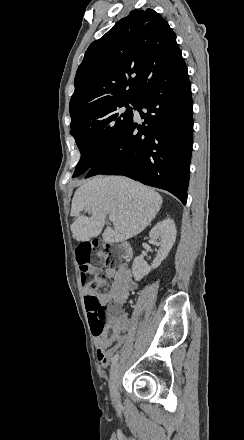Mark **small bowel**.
Wrapping results in <instances>:
<instances>
[{
  "label": "small bowel",
  "instance_id": "obj_1",
  "mask_svg": "<svg viewBox=\"0 0 244 440\" xmlns=\"http://www.w3.org/2000/svg\"><path fill=\"white\" fill-rule=\"evenodd\" d=\"M104 275L111 280L110 286L104 292L90 294L84 291V298L89 299L90 297H94L101 303H103L104 300H113L115 305L122 307L128 301L130 293L137 287L130 268L126 264H121L117 268H107L104 271ZM87 310H89V308H87ZM119 329L121 328L111 327L109 320L106 331L94 339L96 357L104 368L113 362L112 355L114 351H118L124 343L125 338H119L117 335ZM127 329H129V327Z\"/></svg>",
  "mask_w": 244,
  "mask_h": 440
}]
</instances>
